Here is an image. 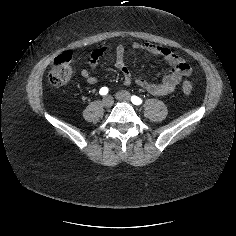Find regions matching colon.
<instances>
[{"instance_id": "obj_1", "label": "colon", "mask_w": 236, "mask_h": 236, "mask_svg": "<svg viewBox=\"0 0 236 236\" xmlns=\"http://www.w3.org/2000/svg\"><path fill=\"white\" fill-rule=\"evenodd\" d=\"M72 60L73 55L70 52H65L55 58L49 72V82L51 85L60 87L70 81L72 76ZM182 88L186 95L192 93V84L189 81H184Z\"/></svg>"}]
</instances>
